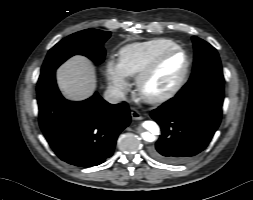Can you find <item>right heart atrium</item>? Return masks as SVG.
<instances>
[{
	"instance_id": "right-heart-atrium-1",
	"label": "right heart atrium",
	"mask_w": 253,
	"mask_h": 200,
	"mask_svg": "<svg viewBox=\"0 0 253 200\" xmlns=\"http://www.w3.org/2000/svg\"><path fill=\"white\" fill-rule=\"evenodd\" d=\"M105 77L112 91L118 96L123 97L129 90V82L123 72L119 62L109 58L105 64Z\"/></svg>"
}]
</instances>
